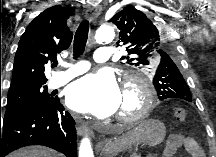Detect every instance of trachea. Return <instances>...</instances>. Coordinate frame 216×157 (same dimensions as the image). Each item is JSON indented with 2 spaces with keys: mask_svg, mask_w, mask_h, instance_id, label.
I'll return each mask as SVG.
<instances>
[{
  "mask_svg": "<svg viewBox=\"0 0 216 157\" xmlns=\"http://www.w3.org/2000/svg\"><path fill=\"white\" fill-rule=\"evenodd\" d=\"M89 33V21L84 20L80 23L75 36H74V43H73V56L74 58L79 57L83 54ZM57 65V62L53 64V67Z\"/></svg>",
  "mask_w": 216,
  "mask_h": 157,
  "instance_id": "1",
  "label": "trachea"
}]
</instances>
